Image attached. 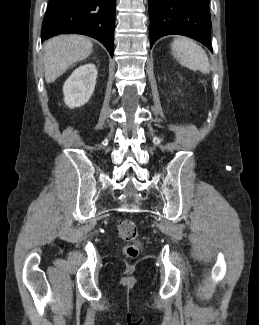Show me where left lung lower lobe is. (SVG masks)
Wrapping results in <instances>:
<instances>
[{"mask_svg":"<svg viewBox=\"0 0 259 325\" xmlns=\"http://www.w3.org/2000/svg\"><path fill=\"white\" fill-rule=\"evenodd\" d=\"M210 0H149L150 42L165 35L191 37L212 50Z\"/></svg>","mask_w":259,"mask_h":325,"instance_id":"left-lung-lower-lobe-1","label":"left lung lower lobe"}]
</instances>
